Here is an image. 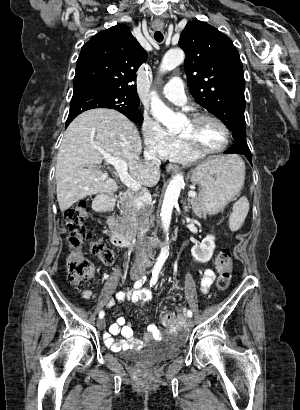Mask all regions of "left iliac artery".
Returning a JSON list of instances; mask_svg holds the SVG:
<instances>
[{"label":"left iliac artery","mask_w":300,"mask_h":410,"mask_svg":"<svg viewBox=\"0 0 300 410\" xmlns=\"http://www.w3.org/2000/svg\"><path fill=\"white\" fill-rule=\"evenodd\" d=\"M158 276H159V273H158V272H153V273H152V278H151V280H150V286H151V287L156 284V282H157V280H158ZM192 315H193V314H192V311L188 310V311H187V316H188V317H192Z\"/></svg>","instance_id":"44dca946"}]
</instances>
